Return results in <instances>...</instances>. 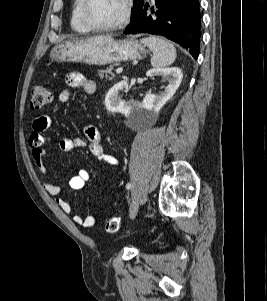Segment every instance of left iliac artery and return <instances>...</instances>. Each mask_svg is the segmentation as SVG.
<instances>
[{
	"label": "left iliac artery",
	"instance_id": "44dca946",
	"mask_svg": "<svg viewBox=\"0 0 267 301\" xmlns=\"http://www.w3.org/2000/svg\"><path fill=\"white\" fill-rule=\"evenodd\" d=\"M132 187L131 183L126 184V188L129 190Z\"/></svg>",
	"mask_w": 267,
	"mask_h": 301
}]
</instances>
